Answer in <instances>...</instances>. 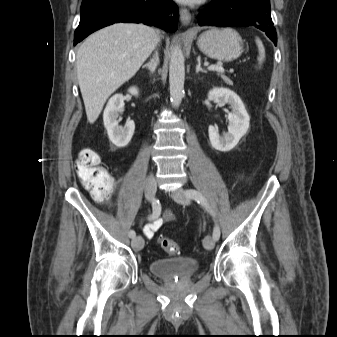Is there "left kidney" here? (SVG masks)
I'll list each match as a JSON object with an SVG mask.
<instances>
[{
  "label": "left kidney",
  "mask_w": 337,
  "mask_h": 337,
  "mask_svg": "<svg viewBox=\"0 0 337 337\" xmlns=\"http://www.w3.org/2000/svg\"><path fill=\"white\" fill-rule=\"evenodd\" d=\"M208 99L216 103H227L231 112L228 113V132L223 136L218 133V128L209 126L208 133L212 147L216 150L227 152L233 149L249 128L250 117L240 97L227 88H214L208 93Z\"/></svg>",
  "instance_id": "5707ae66"
}]
</instances>
